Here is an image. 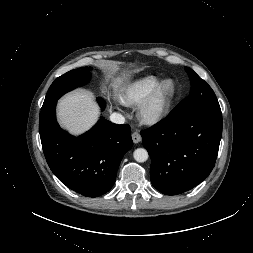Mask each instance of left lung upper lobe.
<instances>
[{
  "label": "left lung upper lobe",
  "mask_w": 253,
  "mask_h": 253,
  "mask_svg": "<svg viewBox=\"0 0 253 253\" xmlns=\"http://www.w3.org/2000/svg\"><path fill=\"white\" fill-rule=\"evenodd\" d=\"M185 71L191 82L190 95L183 99L170 115L195 112L221 113L220 105L211 87L192 69L185 67Z\"/></svg>",
  "instance_id": "5c2ea615"
}]
</instances>
